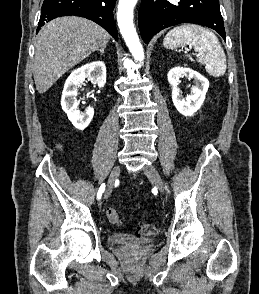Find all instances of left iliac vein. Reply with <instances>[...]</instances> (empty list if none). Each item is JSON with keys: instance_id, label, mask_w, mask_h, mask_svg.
I'll use <instances>...</instances> for the list:
<instances>
[{"instance_id": "1", "label": "left iliac vein", "mask_w": 259, "mask_h": 294, "mask_svg": "<svg viewBox=\"0 0 259 294\" xmlns=\"http://www.w3.org/2000/svg\"><path fill=\"white\" fill-rule=\"evenodd\" d=\"M146 177L155 184L158 190L163 194L164 193V182L157 171V169L153 165H148L143 169Z\"/></svg>"}]
</instances>
